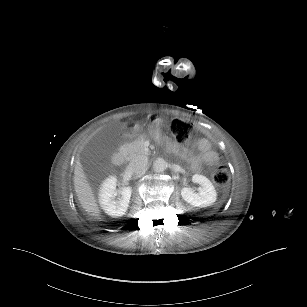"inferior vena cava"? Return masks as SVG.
<instances>
[{"label": "inferior vena cava", "mask_w": 307, "mask_h": 307, "mask_svg": "<svg viewBox=\"0 0 307 307\" xmlns=\"http://www.w3.org/2000/svg\"><path fill=\"white\" fill-rule=\"evenodd\" d=\"M146 164V157L136 156L130 161L129 165L127 166V170L135 174H141L145 170Z\"/></svg>", "instance_id": "inferior-vena-cava-1"}]
</instances>
